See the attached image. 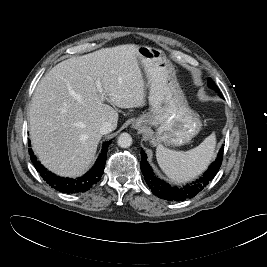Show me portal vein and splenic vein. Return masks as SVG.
Instances as JSON below:
<instances>
[{
	"label": "portal vein and splenic vein",
	"mask_w": 267,
	"mask_h": 267,
	"mask_svg": "<svg viewBox=\"0 0 267 267\" xmlns=\"http://www.w3.org/2000/svg\"><path fill=\"white\" fill-rule=\"evenodd\" d=\"M96 85H97L98 91L102 92V87L99 81H97Z\"/></svg>",
	"instance_id": "1"
}]
</instances>
